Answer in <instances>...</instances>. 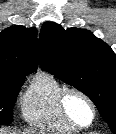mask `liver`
<instances>
[{
    "mask_svg": "<svg viewBox=\"0 0 116 134\" xmlns=\"http://www.w3.org/2000/svg\"><path fill=\"white\" fill-rule=\"evenodd\" d=\"M0 134H36L34 131H10V130H0Z\"/></svg>",
    "mask_w": 116,
    "mask_h": 134,
    "instance_id": "obj_1",
    "label": "liver"
}]
</instances>
